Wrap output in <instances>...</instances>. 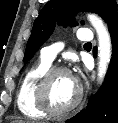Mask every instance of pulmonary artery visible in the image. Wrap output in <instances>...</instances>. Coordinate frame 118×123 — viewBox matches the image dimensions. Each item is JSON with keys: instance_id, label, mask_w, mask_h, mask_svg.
Returning a JSON list of instances; mask_svg holds the SVG:
<instances>
[{"instance_id": "1", "label": "pulmonary artery", "mask_w": 118, "mask_h": 123, "mask_svg": "<svg viewBox=\"0 0 118 123\" xmlns=\"http://www.w3.org/2000/svg\"><path fill=\"white\" fill-rule=\"evenodd\" d=\"M77 38L80 41H89L92 39V33L91 30L89 28H81L79 29V31L77 32ZM63 48V44L62 43H56L47 47H44L41 50V57L42 59L52 62L58 52Z\"/></svg>"}]
</instances>
